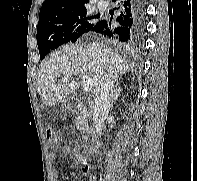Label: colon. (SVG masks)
Listing matches in <instances>:
<instances>
[{
	"instance_id": "colon-1",
	"label": "colon",
	"mask_w": 197,
	"mask_h": 181,
	"mask_svg": "<svg viewBox=\"0 0 197 181\" xmlns=\"http://www.w3.org/2000/svg\"><path fill=\"white\" fill-rule=\"evenodd\" d=\"M45 133H46V138H47V141L49 142V144L52 147H57L58 144L60 143V137L58 136L56 129L53 126H48L46 128V132ZM82 161L85 163V159L84 158H82ZM83 170L86 171L87 170V166H84Z\"/></svg>"
}]
</instances>
